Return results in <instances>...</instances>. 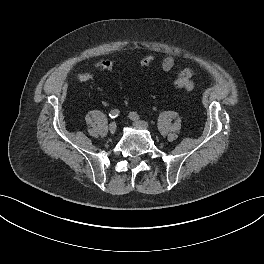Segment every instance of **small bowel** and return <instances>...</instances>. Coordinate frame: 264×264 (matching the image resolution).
<instances>
[{
  "mask_svg": "<svg viewBox=\"0 0 264 264\" xmlns=\"http://www.w3.org/2000/svg\"><path fill=\"white\" fill-rule=\"evenodd\" d=\"M162 70L165 72H169L174 70L177 67L176 61L172 56H168L163 59L162 64H161ZM192 74L193 71L191 70ZM78 79L81 82H86V81H91L94 79V76L90 73H79L78 74Z\"/></svg>",
  "mask_w": 264,
  "mask_h": 264,
  "instance_id": "c3829d8e",
  "label": "small bowel"
}]
</instances>
